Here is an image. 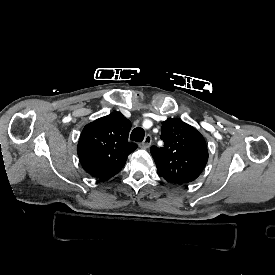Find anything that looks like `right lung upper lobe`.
<instances>
[{
	"mask_svg": "<svg viewBox=\"0 0 275 275\" xmlns=\"http://www.w3.org/2000/svg\"><path fill=\"white\" fill-rule=\"evenodd\" d=\"M130 121L113 112L87 124L77 146L83 169L90 175L108 180L123 168L137 144L128 141Z\"/></svg>",
	"mask_w": 275,
	"mask_h": 275,
	"instance_id": "cb5924a9",
	"label": "right lung upper lobe"
}]
</instances>
